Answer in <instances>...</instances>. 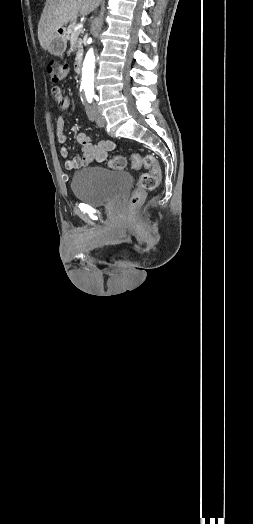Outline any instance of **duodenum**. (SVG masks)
<instances>
[{
    "label": "duodenum",
    "mask_w": 253,
    "mask_h": 524,
    "mask_svg": "<svg viewBox=\"0 0 253 524\" xmlns=\"http://www.w3.org/2000/svg\"><path fill=\"white\" fill-rule=\"evenodd\" d=\"M74 69L76 73H81V70H82V60L81 59H78L75 62Z\"/></svg>",
    "instance_id": "duodenum-1"
}]
</instances>
